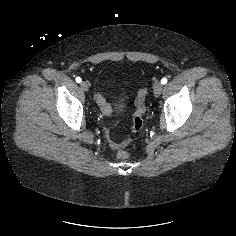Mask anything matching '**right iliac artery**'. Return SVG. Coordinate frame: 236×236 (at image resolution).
I'll use <instances>...</instances> for the list:
<instances>
[{
    "label": "right iliac artery",
    "mask_w": 236,
    "mask_h": 236,
    "mask_svg": "<svg viewBox=\"0 0 236 236\" xmlns=\"http://www.w3.org/2000/svg\"><path fill=\"white\" fill-rule=\"evenodd\" d=\"M75 80H76L77 83H80L82 81L80 77H76Z\"/></svg>",
    "instance_id": "obj_1"
}]
</instances>
